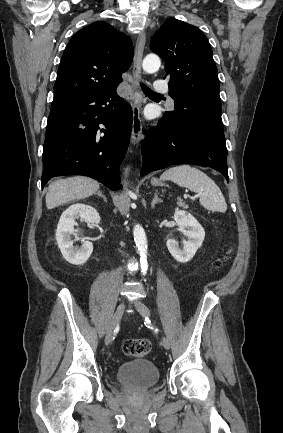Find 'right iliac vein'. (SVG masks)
<instances>
[{"instance_id":"1","label":"right iliac vein","mask_w":283,"mask_h":433,"mask_svg":"<svg viewBox=\"0 0 283 433\" xmlns=\"http://www.w3.org/2000/svg\"><path fill=\"white\" fill-rule=\"evenodd\" d=\"M125 307H126L125 303H121L118 306V308H117V310H116V312H115V314H114V316H113V318L111 320V323L109 324V326L107 328L106 334H105V344L106 345L110 344V342L112 340L113 332L115 330V327L120 322V320H121V318L123 316Z\"/></svg>"}]
</instances>
